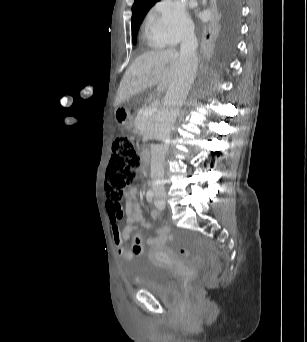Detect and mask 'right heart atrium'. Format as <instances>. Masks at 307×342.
<instances>
[{"label": "right heart atrium", "instance_id": "obj_1", "mask_svg": "<svg viewBox=\"0 0 307 342\" xmlns=\"http://www.w3.org/2000/svg\"><path fill=\"white\" fill-rule=\"evenodd\" d=\"M185 15L171 5L156 7L142 27V33L161 46L173 47L192 33Z\"/></svg>", "mask_w": 307, "mask_h": 342}]
</instances>
